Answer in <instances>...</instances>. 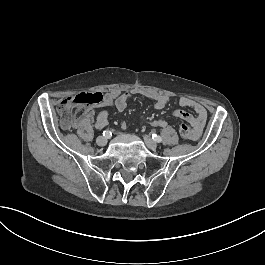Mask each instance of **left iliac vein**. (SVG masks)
<instances>
[{
	"label": "left iliac vein",
	"mask_w": 265,
	"mask_h": 265,
	"mask_svg": "<svg viewBox=\"0 0 265 265\" xmlns=\"http://www.w3.org/2000/svg\"><path fill=\"white\" fill-rule=\"evenodd\" d=\"M143 138H144V142H145L146 146H147L149 149H151V150H156V149H157V144H156V142H155L153 139H151L150 136H148V135H144Z\"/></svg>",
	"instance_id": "4c4485c4"
}]
</instances>
